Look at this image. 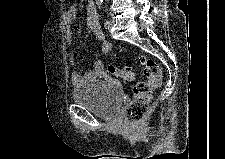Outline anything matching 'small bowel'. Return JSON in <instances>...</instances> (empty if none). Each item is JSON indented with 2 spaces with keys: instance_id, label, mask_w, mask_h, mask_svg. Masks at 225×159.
Listing matches in <instances>:
<instances>
[{
  "instance_id": "obj_1",
  "label": "small bowel",
  "mask_w": 225,
  "mask_h": 159,
  "mask_svg": "<svg viewBox=\"0 0 225 159\" xmlns=\"http://www.w3.org/2000/svg\"><path fill=\"white\" fill-rule=\"evenodd\" d=\"M76 16H77V8L76 6H71L67 10L65 15V38L69 44L73 40L72 26L75 22ZM85 22L87 29L92 33V35L96 38V40L100 45V54L102 55L108 54L111 51L112 45L103 34V31L99 24L96 5L93 2H89L86 6ZM69 60L71 64H75L76 60L73 53H70ZM98 78L111 80V78L104 69L102 61L99 59H96L92 62L91 68L88 71L84 73L74 71L72 73V82L75 85H80L85 81H90Z\"/></svg>"
}]
</instances>
